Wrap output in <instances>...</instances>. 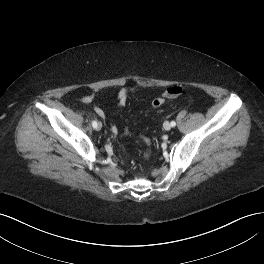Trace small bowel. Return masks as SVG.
<instances>
[{"instance_id": "c3829d8e", "label": "small bowel", "mask_w": 264, "mask_h": 264, "mask_svg": "<svg viewBox=\"0 0 264 264\" xmlns=\"http://www.w3.org/2000/svg\"><path fill=\"white\" fill-rule=\"evenodd\" d=\"M131 90L128 88H122L121 90L118 91L117 96H116V102L118 106H124L128 100V97L130 96ZM182 93V88L178 85L170 86L167 88H163L160 90L161 97L165 99H173L178 97ZM95 99L94 95H85L82 97V102L84 104H91ZM95 113L100 117V118H105L106 113L105 109L101 107L100 105H95ZM111 130L113 132H117V127L115 125H111Z\"/></svg>"}]
</instances>
